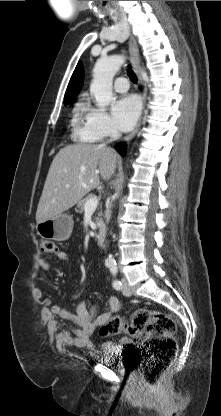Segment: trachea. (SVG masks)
<instances>
[{
    "label": "trachea",
    "instance_id": "3493384b",
    "mask_svg": "<svg viewBox=\"0 0 221 416\" xmlns=\"http://www.w3.org/2000/svg\"><path fill=\"white\" fill-rule=\"evenodd\" d=\"M128 76L133 83L137 82V76L134 74L130 66H128Z\"/></svg>",
    "mask_w": 221,
    "mask_h": 416
}]
</instances>
